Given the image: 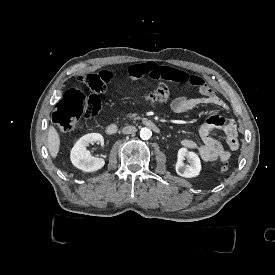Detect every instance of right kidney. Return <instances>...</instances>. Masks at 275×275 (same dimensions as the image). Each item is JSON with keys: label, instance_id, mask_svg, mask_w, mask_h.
Here are the masks:
<instances>
[{"label": "right kidney", "instance_id": "1", "mask_svg": "<svg viewBox=\"0 0 275 275\" xmlns=\"http://www.w3.org/2000/svg\"><path fill=\"white\" fill-rule=\"evenodd\" d=\"M95 141L102 142V135L99 133H89L76 140L70 152V161L73 166L84 172H95L104 167V159L97 157L89 158L90 151L87 147Z\"/></svg>", "mask_w": 275, "mask_h": 275}]
</instances>
